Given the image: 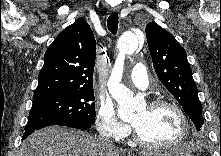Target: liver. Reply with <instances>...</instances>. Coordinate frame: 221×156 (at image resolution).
Segmentation results:
<instances>
[{
    "instance_id": "obj_1",
    "label": "liver",
    "mask_w": 221,
    "mask_h": 156,
    "mask_svg": "<svg viewBox=\"0 0 221 156\" xmlns=\"http://www.w3.org/2000/svg\"><path fill=\"white\" fill-rule=\"evenodd\" d=\"M186 150L195 151L194 145ZM113 146H105L87 132L65 127H48L34 132L24 140L19 156H120ZM139 155H149L145 152ZM130 156V154H129Z\"/></svg>"
}]
</instances>
